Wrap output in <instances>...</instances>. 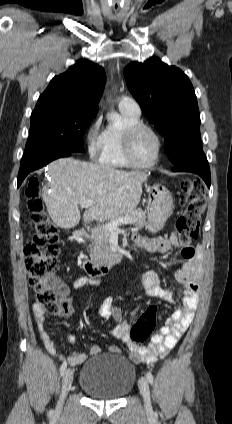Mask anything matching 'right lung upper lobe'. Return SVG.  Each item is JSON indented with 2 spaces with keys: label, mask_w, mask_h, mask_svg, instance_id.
<instances>
[{
  "label": "right lung upper lobe",
  "mask_w": 232,
  "mask_h": 424,
  "mask_svg": "<svg viewBox=\"0 0 232 424\" xmlns=\"http://www.w3.org/2000/svg\"><path fill=\"white\" fill-rule=\"evenodd\" d=\"M105 81L106 75L102 67L81 60L50 81L47 89L40 95L35 109L75 107L96 115Z\"/></svg>",
  "instance_id": "1"
}]
</instances>
